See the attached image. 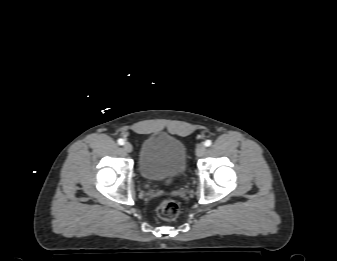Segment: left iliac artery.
Listing matches in <instances>:
<instances>
[{"instance_id": "obj_1", "label": "left iliac artery", "mask_w": 337, "mask_h": 261, "mask_svg": "<svg viewBox=\"0 0 337 261\" xmlns=\"http://www.w3.org/2000/svg\"><path fill=\"white\" fill-rule=\"evenodd\" d=\"M211 144H212L211 140H206V141L204 142V145H205L206 147L211 146Z\"/></svg>"}]
</instances>
